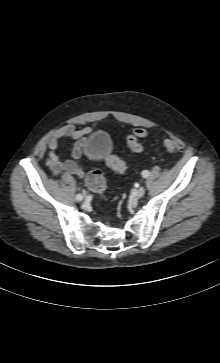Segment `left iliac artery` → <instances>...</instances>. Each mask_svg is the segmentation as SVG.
I'll use <instances>...</instances> for the list:
<instances>
[{"instance_id":"1","label":"left iliac artery","mask_w":220,"mask_h":363,"mask_svg":"<svg viewBox=\"0 0 220 363\" xmlns=\"http://www.w3.org/2000/svg\"><path fill=\"white\" fill-rule=\"evenodd\" d=\"M142 176H143L144 178H147V177L149 176V171H148V170H144V171L142 172Z\"/></svg>"}]
</instances>
